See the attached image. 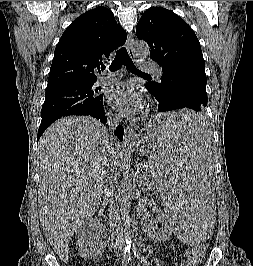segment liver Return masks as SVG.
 <instances>
[{
    "label": "liver",
    "mask_w": 253,
    "mask_h": 266,
    "mask_svg": "<svg viewBox=\"0 0 253 266\" xmlns=\"http://www.w3.org/2000/svg\"><path fill=\"white\" fill-rule=\"evenodd\" d=\"M123 150L88 116L62 118L42 135L38 208L43 232L59 257H67L74 233L99 208L107 173Z\"/></svg>",
    "instance_id": "6515ba94"
}]
</instances>
